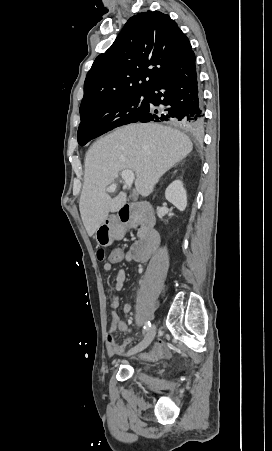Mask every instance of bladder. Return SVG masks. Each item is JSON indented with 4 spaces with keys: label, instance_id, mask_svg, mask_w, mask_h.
Returning <instances> with one entry per match:
<instances>
[{
    "label": "bladder",
    "instance_id": "obj_1",
    "mask_svg": "<svg viewBox=\"0 0 272 451\" xmlns=\"http://www.w3.org/2000/svg\"><path fill=\"white\" fill-rule=\"evenodd\" d=\"M137 369L143 373H148L150 372V366L144 363H139L137 365Z\"/></svg>",
    "mask_w": 272,
    "mask_h": 451
}]
</instances>
